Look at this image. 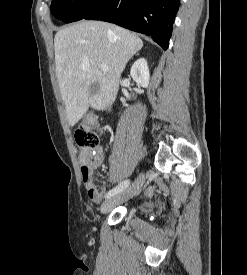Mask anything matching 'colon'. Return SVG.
Here are the masks:
<instances>
[{"instance_id": "obj_1", "label": "colon", "mask_w": 247, "mask_h": 275, "mask_svg": "<svg viewBox=\"0 0 247 275\" xmlns=\"http://www.w3.org/2000/svg\"><path fill=\"white\" fill-rule=\"evenodd\" d=\"M75 142L78 148L82 150V160L87 161L94 157V150L99 143V134L97 131L80 127L75 132Z\"/></svg>"}]
</instances>
